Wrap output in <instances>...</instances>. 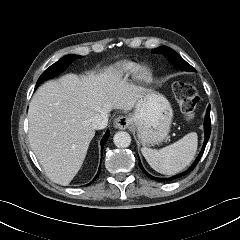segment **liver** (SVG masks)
<instances>
[{"label":"liver","instance_id":"1","mask_svg":"<svg viewBox=\"0 0 240 240\" xmlns=\"http://www.w3.org/2000/svg\"><path fill=\"white\" fill-rule=\"evenodd\" d=\"M143 90L113 68L87 76L67 74L43 84L28 111L29 141L48 178L68 185L80 170L95 135L92 118L132 110Z\"/></svg>","mask_w":240,"mask_h":240}]
</instances>
